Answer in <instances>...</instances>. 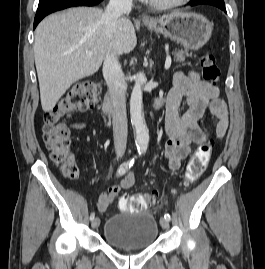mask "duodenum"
<instances>
[{
    "mask_svg": "<svg viewBox=\"0 0 265 269\" xmlns=\"http://www.w3.org/2000/svg\"><path fill=\"white\" fill-rule=\"evenodd\" d=\"M160 106V102L155 100L153 107L157 109ZM103 109L106 114H111L113 112V94L111 91H108L105 95Z\"/></svg>",
    "mask_w": 265,
    "mask_h": 269,
    "instance_id": "duodenum-1",
    "label": "duodenum"
}]
</instances>
